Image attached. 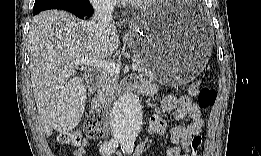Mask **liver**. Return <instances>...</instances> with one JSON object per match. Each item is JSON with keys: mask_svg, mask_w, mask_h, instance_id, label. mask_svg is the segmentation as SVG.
Instances as JSON below:
<instances>
[{"mask_svg": "<svg viewBox=\"0 0 261 156\" xmlns=\"http://www.w3.org/2000/svg\"><path fill=\"white\" fill-rule=\"evenodd\" d=\"M113 24L97 34L90 22L60 10L36 15L30 25L28 47L33 93L39 117L47 136L53 129L65 132L74 128L84 111L81 94L72 91L67 81L76 74L74 61L82 58L110 57L119 47ZM71 93L75 106L69 122L58 117L60 107Z\"/></svg>", "mask_w": 261, "mask_h": 156, "instance_id": "liver-1", "label": "liver"}]
</instances>
